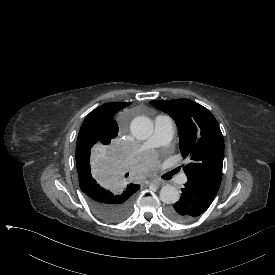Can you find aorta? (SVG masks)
Returning a JSON list of instances; mask_svg holds the SVG:
<instances>
[{"label": "aorta", "mask_w": 275, "mask_h": 275, "mask_svg": "<svg viewBox=\"0 0 275 275\" xmlns=\"http://www.w3.org/2000/svg\"><path fill=\"white\" fill-rule=\"evenodd\" d=\"M153 130V122L146 116H138L131 121L130 131L137 140H146L152 135ZM179 198V191L172 185H165L160 190V200L165 204H174Z\"/></svg>", "instance_id": "aorta-1"}]
</instances>
